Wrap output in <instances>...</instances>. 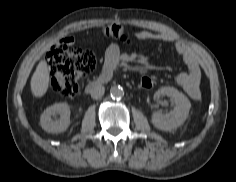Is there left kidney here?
I'll list each match as a JSON object with an SVG mask.
<instances>
[{
  "mask_svg": "<svg viewBox=\"0 0 236 182\" xmlns=\"http://www.w3.org/2000/svg\"><path fill=\"white\" fill-rule=\"evenodd\" d=\"M168 96L175 102V107L170 113L161 114L154 112L152 115L153 125L163 131H171L181 126L188 117L191 103L189 99L174 87H161L158 89L154 98L159 99L161 96Z\"/></svg>",
  "mask_w": 236,
  "mask_h": 182,
  "instance_id": "obj_1",
  "label": "left kidney"
}]
</instances>
